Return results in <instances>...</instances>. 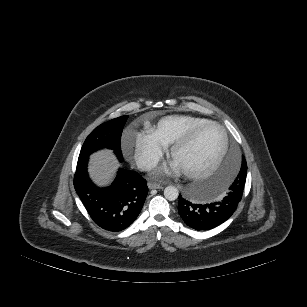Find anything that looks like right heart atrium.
I'll return each mask as SVG.
<instances>
[{
  "label": "right heart atrium",
  "mask_w": 307,
  "mask_h": 307,
  "mask_svg": "<svg viewBox=\"0 0 307 307\" xmlns=\"http://www.w3.org/2000/svg\"><path fill=\"white\" fill-rule=\"evenodd\" d=\"M129 143L133 145L135 160L142 169H149L156 165L167 150V146L161 143L149 128L126 133L123 139L124 150L128 149Z\"/></svg>",
  "instance_id": "obj_1"
}]
</instances>
